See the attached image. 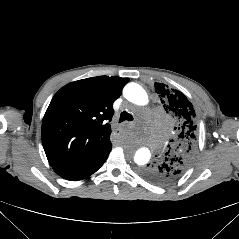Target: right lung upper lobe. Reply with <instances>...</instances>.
Returning a JSON list of instances; mask_svg holds the SVG:
<instances>
[{
  "label": "right lung upper lobe",
  "mask_w": 239,
  "mask_h": 239,
  "mask_svg": "<svg viewBox=\"0 0 239 239\" xmlns=\"http://www.w3.org/2000/svg\"><path fill=\"white\" fill-rule=\"evenodd\" d=\"M129 78L98 76L71 82L52 98L42 122L47 159L61 175L110 142L113 102Z\"/></svg>",
  "instance_id": "cb5924a9"
}]
</instances>
